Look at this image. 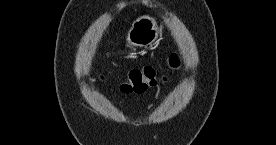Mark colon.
Returning a JSON list of instances; mask_svg holds the SVG:
<instances>
[{
  "mask_svg": "<svg viewBox=\"0 0 276 145\" xmlns=\"http://www.w3.org/2000/svg\"><path fill=\"white\" fill-rule=\"evenodd\" d=\"M168 66L171 69H176L179 66V60L176 55L170 57ZM164 79L162 70L154 66L147 65L140 68H133L128 71L119 83V89L123 93H143Z\"/></svg>",
  "mask_w": 276,
  "mask_h": 145,
  "instance_id": "5ec220e1",
  "label": "colon"
}]
</instances>
